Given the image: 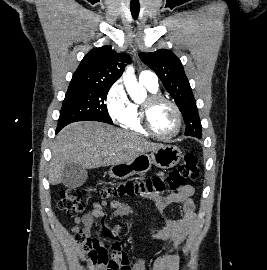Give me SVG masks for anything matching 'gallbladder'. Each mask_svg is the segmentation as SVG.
<instances>
[{"mask_svg": "<svg viewBox=\"0 0 267 270\" xmlns=\"http://www.w3.org/2000/svg\"><path fill=\"white\" fill-rule=\"evenodd\" d=\"M87 177V169L80 164L68 163L62 171V184L68 188H77L85 183Z\"/></svg>", "mask_w": 267, "mask_h": 270, "instance_id": "gallbladder-1", "label": "gallbladder"}]
</instances>
